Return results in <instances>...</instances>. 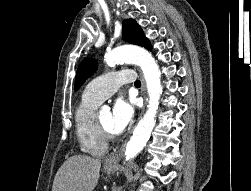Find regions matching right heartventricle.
Instances as JSON below:
<instances>
[{
  "label": "right heart ventricle",
  "instance_id": "obj_1",
  "mask_svg": "<svg viewBox=\"0 0 251 191\" xmlns=\"http://www.w3.org/2000/svg\"><path fill=\"white\" fill-rule=\"evenodd\" d=\"M70 91L74 90L71 88ZM100 102L82 96L74 114L75 135L79 150L94 157L105 155L108 149L107 142L100 133L94 116V111Z\"/></svg>",
  "mask_w": 251,
  "mask_h": 191
}]
</instances>
